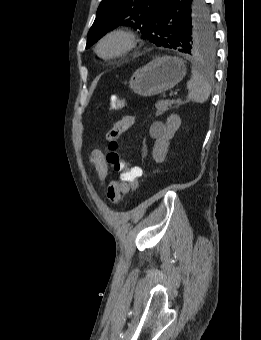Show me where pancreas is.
Listing matches in <instances>:
<instances>
[{"label": "pancreas", "mask_w": 261, "mask_h": 340, "mask_svg": "<svg viewBox=\"0 0 261 340\" xmlns=\"http://www.w3.org/2000/svg\"><path fill=\"white\" fill-rule=\"evenodd\" d=\"M173 104L179 106L181 104V102L178 101V100H161V101H158L155 104L156 116H160L163 113H165L166 111H168L169 107H172Z\"/></svg>", "instance_id": "1"}]
</instances>
